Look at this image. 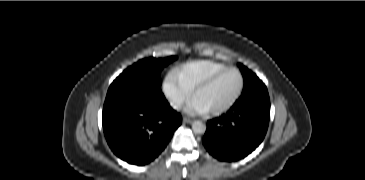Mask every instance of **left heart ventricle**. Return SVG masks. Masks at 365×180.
I'll return each mask as SVG.
<instances>
[{"mask_svg":"<svg viewBox=\"0 0 365 180\" xmlns=\"http://www.w3.org/2000/svg\"><path fill=\"white\" fill-rule=\"evenodd\" d=\"M240 85L237 72L229 71L219 77L209 87L199 92L194 100L206 111L227 104L236 94Z\"/></svg>","mask_w":365,"mask_h":180,"instance_id":"left-heart-ventricle-1","label":"left heart ventricle"}]
</instances>
